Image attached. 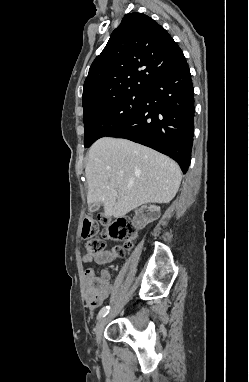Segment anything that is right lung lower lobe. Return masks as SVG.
Masks as SVG:
<instances>
[{"mask_svg":"<svg viewBox=\"0 0 249 382\" xmlns=\"http://www.w3.org/2000/svg\"><path fill=\"white\" fill-rule=\"evenodd\" d=\"M140 110L108 136L148 146L176 160L185 174L194 132V90L186 59L146 90Z\"/></svg>","mask_w":249,"mask_h":382,"instance_id":"98d812e1","label":"right lung lower lobe"}]
</instances>
